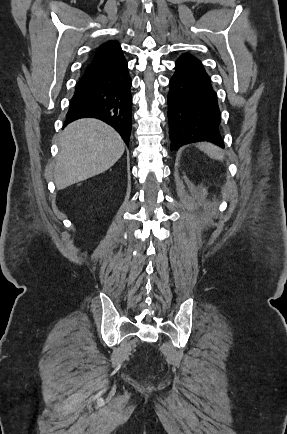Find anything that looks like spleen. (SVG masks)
I'll list each match as a JSON object with an SVG mask.
<instances>
[{
    "label": "spleen",
    "mask_w": 287,
    "mask_h": 434,
    "mask_svg": "<svg viewBox=\"0 0 287 434\" xmlns=\"http://www.w3.org/2000/svg\"><path fill=\"white\" fill-rule=\"evenodd\" d=\"M198 148L206 153L209 157L222 161L224 159V152L219 147L211 143H201Z\"/></svg>",
    "instance_id": "spleen-1"
}]
</instances>
